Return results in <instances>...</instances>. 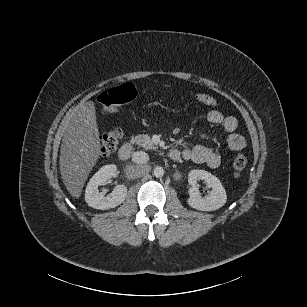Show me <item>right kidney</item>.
I'll use <instances>...</instances> for the list:
<instances>
[{
    "label": "right kidney",
    "mask_w": 307,
    "mask_h": 307,
    "mask_svg": "<svg viewBox=\"0 0 307 307\" xmlns=\"http://www.w3.org/2000/svg\"><path fill=\"white\" fill-rule=\"evenodd\" d=\"M117 175V167L115 165H107L102 167L89 181L86 192V203L97 210H108L121 205L127 197L128 189L125 185H118L113 192L105 197L103 192H99V186L105 185L108 179Z\"/></svg>",
    "instance_id": "right-kidney-1"
}]
</instances>
